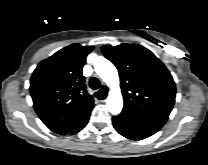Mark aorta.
<instances>
[{
	"label": "aorta",
	"instance_id": "762f6f07",
	"mask_svg": "<svg viewBox=\"0 0 208 165\" xmlns=\"http://www.w3.org/2000/svg\"><path fill=\"white\" fill-rule=\"evenodd\" d=\"M94 69L102 80L111 88L106 101L109 112L114 115L119 114L123 108V99L116 67L104 57L95 56Z\"/></svg>",
	"mask_w": 208,
	"mask_h": 165
}]
</instances>
